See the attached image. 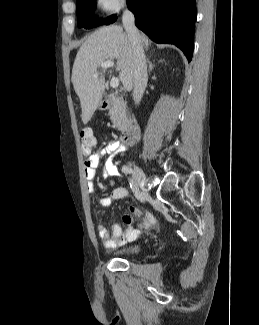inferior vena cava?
<instances>
[{"label": "inferior vena cava", "mask_w": 259, "mask_h": 325, "mask_svg": "<svg viewBox=\"0 0 259 325\" xmlns=\"http://www.w3.org/2000/svg\"><path fill=\"white\" fill-rule=\"evenodd\" d=\"M122 22L132 45L133 100L135 104H139L148 81L146 57L139 31L134 23V15L128 9L123 11Z\"/></svg>", "instance_id": "inferior-vena-cava-1"}]
</instances>
